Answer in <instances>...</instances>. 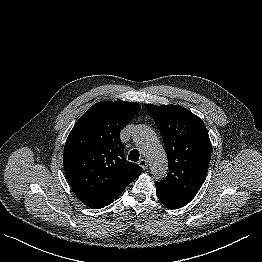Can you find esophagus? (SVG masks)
Masks as SVG:
<instances>
[{
	"label": "esophagus",
	"instance_id": "1",
	"mask_svg": "<svg viewBox=\"0 0 262 262\" xmlns=\"http://www.w3.org/2000/svg\"><path fill=\"white\" fill-rule=\"evenodd\" d=\"M138 164H139L144 170L148 169V162H147V160L141 159V160H139Z\"/></svg>",
	"mask_w": 262,
	"mask_h": 262
}]
</instances>
